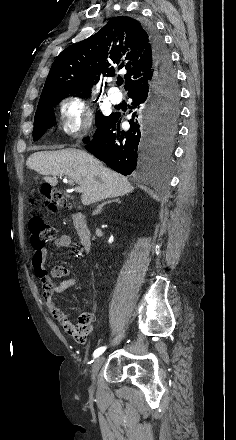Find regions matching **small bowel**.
Here are the masks:
<instances>
[{"label": "small bowel", "mask_w": 236, "mask_h": 440, "mask_svg": "<svg viewBox=\"0 0 236 440\" xmlns=\"http://www.w3.org/2000/svg\"><path fill=\"white\" fill-rule=\"evenodd\" d=\"M71 245V237L68 234H61L56 237L54 247L64 249ZM48 255V248L42 247L35 249L31 263L36 277L43 288V303L50 314L61 324L62 330H65L79 344H85L92 330L95 329V322L92 321V315L84 312L80 315L79 321H70L68 316L56 305L53 296L62 294L66 290L77 286L76 278H67L70 271L65 266H56L48 275L45 270V263Z\"/></svg>", "instance_id": "small-bowel-1"}]
</instances>
